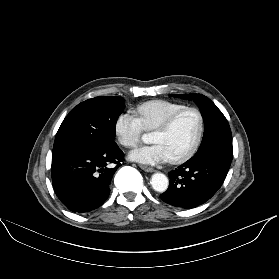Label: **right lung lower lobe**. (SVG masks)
Returning a JSON list of instances; mask_svg holds the SVG:
<instances>
[{
	"mask_svg": "<svg viewBox=\"0 0 279 279\" xmlns=\"http://www.w3.org/2000/svg\"><path fill=\"white\" fill-rule=\"evenodd\" d=\"M123 157L115 142L98 150L52 154L51 174L56 195L72 212L98 208L110 194L109 184Z\"/></svg>",
	"mask_w": 279,
	"mask_h": 279,
	"instance_id": "right-lung-lower-lobe-1",
	"label": "right lung lower lobe"
}]
</instances>
